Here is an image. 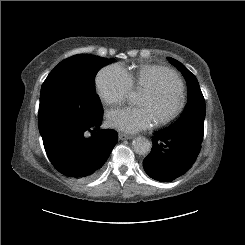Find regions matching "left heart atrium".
Instances as JSON below:
<instances>
[{"instance_id":"left-heart-atrium-1","label":"left heart atrium","mask_w":245,"mask_h":245,"mask_svg":"<svg viewBox=\"0 0 245 245\" xmlns=\"http://www.w3.org/2000/svg\"><path fill=\"white\" fill-rule=\"evenodd\" d=\"M154 117L146 108L122 107L111 110L107 114L106 124L109 128L126 132L136 133L151 127Z\"/></svg>"}]
</instances>
